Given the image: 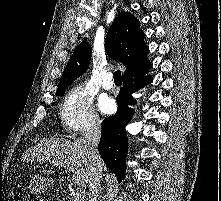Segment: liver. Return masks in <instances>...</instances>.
I'll list each match as a JSON object with an SVG mask.
<instances>
[{
	"instance_id": "6515ba94",
	"label": "liver",
	"mask_w": 221,
	"mask_h": 201,
	"mask_svg": "<svg viewBox=\"0 0 221 201\" xmlns=\"http://www.w3.org/2000/svg\"><path fill=\"white\" fill-rule=\"evenodd\" d=\"M24 162L48 161L52 166L61 163L73 173L72 181L81 187H87L90 181L91 165L88 157L87 142L84 138L69 141L59 138L41 140L29 148L22 156ZM52 169L43 170L45 174H53Z\"/></svg>"
}]
</instances>
